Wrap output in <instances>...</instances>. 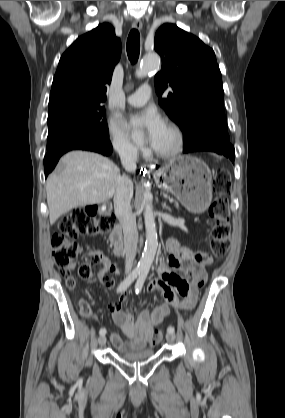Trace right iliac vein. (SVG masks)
Returning a JSON list of instances; mask_svg holds the SVG:
<instances>
[{"instance_id": "obj_1", "label": "right iliac vein", "mask_w": 285, "mask_h": 418, "mask_svg": "<svg viewBox=\"0 0 285 418\" xmlns=\"http://www.w3.org/2000/svg\"><path fill=\"white\" fill-rule=\"evenodd\" d=\"M106 343V336L105 335H101L99 338H98V344L99 345H104Z\"/></svg>"}]
</instances>
